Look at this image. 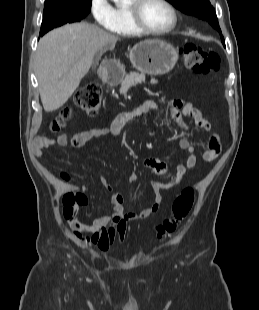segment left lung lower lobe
Returning a JSON list of instances; mask_svg holds the SVG:
<instances>
[{"label": "left lung lower lobe", "mask_w": 259, "mask_h": 310, "mask_svg": "<svg viewBox=\"0 0 259 310\" xmlns=\"http://www.w3.org/2000/svg\"><path fill=\"white\" fill-rule=\"evenodd\" d=\"M222 40V43L225 45V42H224V40L223 39H221Z\"/></svg>", "instance_id": "1"}]
</instances>
